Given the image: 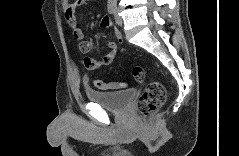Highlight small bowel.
<instances>
[{"label": "small bowel", "instance_id": "small-bowel-1", "mask_svg": "<svg viewBox=\"0 0 239 156\" xmlns=\"http://www.w3.org/2000/svg\"><path fill=\"white\" fill-rule=\"evenodd\" d=\"M87 4L86 0H77L71 2L69 0L62 1V7L65 13V19L70 28L72 29L73 37L80 41L79 49L82 53H88L92 50L94 42L92 39L83 41L84 33L81 28L78 26L77 20V11ZM100 26L102 28H110L111 21L108 17H103L100 21ZM116 36L119 39L120 43L123 42L122 37L118 31H116ZM106 46L109 48V52L100 60L93 59L90 57L84 58V65L88 70H99L105 66H108L113 63L117 57V45L113 41H107Z\"/></svg>", "mask_w": 239, "mask_h": 156}]
</instances>
